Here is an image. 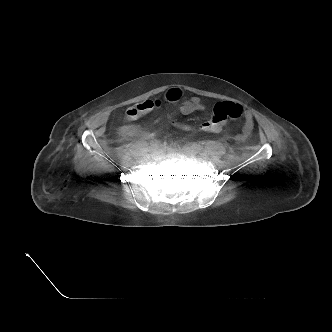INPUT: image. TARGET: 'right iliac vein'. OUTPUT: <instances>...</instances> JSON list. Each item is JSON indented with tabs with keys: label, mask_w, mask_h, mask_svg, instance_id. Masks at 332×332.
<instances>
[{
	"label": "right iliac vein",
	"mask_w": 332,
	"mask_h": 332,
	"mask_svg": "<svg viewBox=\"0 0 332 332\" xmlns=\"http://www.w3.org/2000/svg\"><path fill=\"white\" fill-rule=\"evenodd\" d=\"M151 157L153 159H157L159 157V151L155 150V151L151 152Z\"/></svg>",
	"instance_id": "1"
}]
</instances>
